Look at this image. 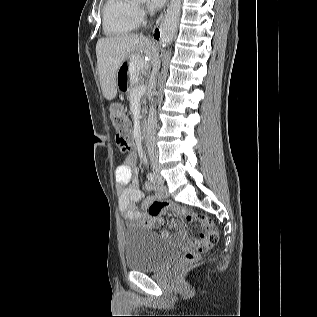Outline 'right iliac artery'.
<instances>
[{"label":"right iliac artery","instance_id":"right-iliac-artery-1","mask_svg":"<svg viewBox=\"0 0 317 317\" xmlns=\"http://www.w3.org/2000/svg\"><path fill=\"white\" fill-rule=\"evenodd\" d=\"M148 180L151 182V183H156V181H157V177H156V175L154 174V173H149L148 174Z\"/></svg>","mask_w":317,"mask_h":317}]
</instances>
